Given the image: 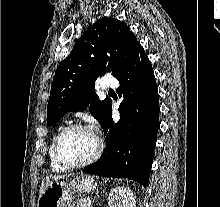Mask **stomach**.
Listing matches in <instances>:
<instances>
[{
  "mask_svg": "<svg viewBox=\"0 0 220 207\" xmlns=\"http://www.w3.org/2000/svg\"><path fill=\"white\" fill-rule=\"evenodd\" d=\"M96 186L95 179L88 175H81L66 182L53 180L39 196L37 207H67L75 195L90 194Z\"/></svg>",
  "mask_w": 220,
  "mask_h": 207,
  "instance_id": "0dacf381",
  "label": "stomach"
}]
</instances>
